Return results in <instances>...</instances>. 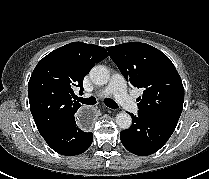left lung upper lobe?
I'll return each instance as SVG.
<instances>
[{
	"label": "left lung upper lobe",
	"instance_id": "5c2ea615",
	"mask_svg": "<svg viewBox=\"0 0 209 179\" xmlns=\"http://www.w3.org/2000/svg\"><path fill=\"white\" fill-rule=\"evenodd\" d=\"M110 57L131 85L143 90L140 111L179 119L184 102L182 80L171 60L145 43H125L107 48Z\"/></svg>",
	"mask_w": 209,
	"mask_h": 179
}]
</instances>
